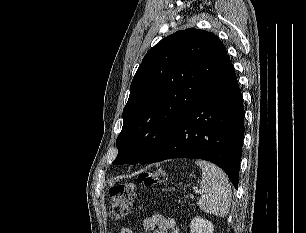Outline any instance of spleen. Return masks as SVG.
I'll list each match as a JSON object with an SVG mask.
<instances>
[{
	"instance_id": "obj_1",
	"label": "spleen",
	"mask_w": 306,
	"mask_h": 233,
	"mask_svg": "<svg viewBox=\"0 0 306 233\" xmlns=\"http://www.w3.org/2000/svg\"><path fill=\"white\" fill-rule=\"evenodd\" d=\"M196 164L202 170L200 187L204 191L198 200V206L204 212L225 217L229 212L232 197L227 175L210 162L197 160Z\"/></svg>"
}]
</instances>
